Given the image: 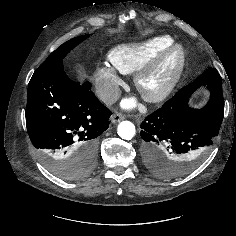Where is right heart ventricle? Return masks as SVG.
Segmentation results:
<instances>
[{"instance_id":"obj_1","label":"right heart ventricle","mask_w":236,"mask_h":236,"mask_svg":"<svg viewBox=\"0 0 236 236\" xmlns=\"http://www.w3.org/2000/svg\"><path fill=\"white\" fill-rule=\"evenodd\" d=\"M171 44L172 39L168 36H154L141 42L119 45L110 50L108 59L117 71L132 74Z\"/></svg>"}]
</instances>
